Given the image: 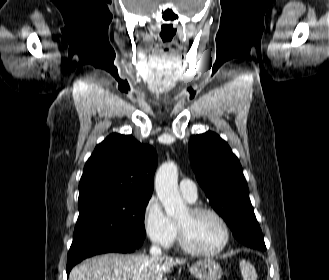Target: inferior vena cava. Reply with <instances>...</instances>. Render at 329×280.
<instances>
[{
    "mask_svg": "<svg viewBox=\"0 0 329 280\" xmlns=\"http://www.w3.org/2000/svg\"><path fill=\"white\" fill-rule=\"evenodd\" d=\"M152 258H158L162 255L161 249L157 245H152L150 248Z\"/></svg>",
    "mask_w": 329,
    "mask_h": 280,
    "instance_id": "1",
    "label": "inferior vena cava"
}]
</instances>
